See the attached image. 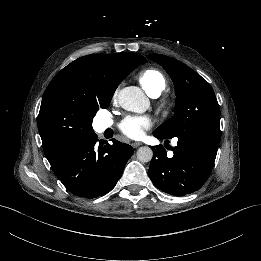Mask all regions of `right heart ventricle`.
I'll return each mask as SVG.
<instances>
[{
  "label": "right heart ventricle",
  "mask_w": 261,
  "mask_h": 261,
  "mask_svg": "<svg viewBox=\"0 0 261 261\" xmlns=\"http://www.w3.org/2000/svg\"><path fill=\"white\" fill-rule=\"evenodd\" d=\"M138 80L144 92L149 96L154 94L159 96L167 86L164 74L156 68L144 70Z\"/></svg>",
  "instance_id": "obj_1"
}]
</instances>
